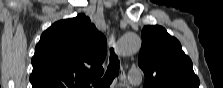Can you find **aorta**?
<instances>
[{"label":"aorta","mask_w":223,"mask_h":88,"mask_svg":"<svg viewBox=\"0 0 223 88\" xmlns=\"http://www.w3.org/2000/svg\"><path fill=\"white\" fill-rule=\"evenodd\" d=\"M141 47V40L138 35L133 33L125 34L121 37L117 52L120 56H128L137 52Z\"/></svg>","instance_id":"762f6f07"}]
</instances>
